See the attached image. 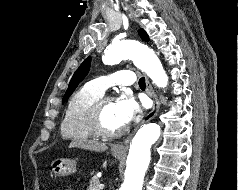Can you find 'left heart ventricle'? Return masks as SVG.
Listing matches in <instances>:
<instances>
[{"label": "left heart ventricle", "mask_w": 238, "mask_h": 190, "mask_svg": "<svg viewBox=\"0 0 238 190\" xmlns=\"http://www.w3.org/2000/svg\"><path fill=\"white\" fill-rule=\"evenodd\" d=\"M103 121L105 126L110 130L119 129L126 124L120 115L116 100L110 101L105 105Z\"/></svg>", "instance_id": "b2bd125f"}]
</instances>
